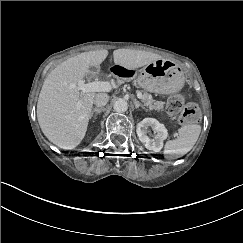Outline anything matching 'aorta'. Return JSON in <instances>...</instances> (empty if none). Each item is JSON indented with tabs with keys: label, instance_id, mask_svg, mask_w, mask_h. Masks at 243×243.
Listing matches in <instances>:
<instances>
[{
	"label": "aorta",
	"instance_id": "1",
	"mask_svg": "<svg viewBox=\"0 0 243 243\" xmlns=\"http://www.w3.org/2000/svg\"><path fill=\"white\" fill-rule=\"evenodd\" d=\"M113 108L116 112L123 113V112L127 111L128 104H127L126 100L119 98L118 100H116L114 102Z\"/></svg>",
	"mask_w": 243,
	"mask_h": 243
}]
</instances>
